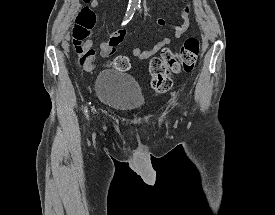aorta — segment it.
<instances>
[{
	"mask_svg": "<svg viewBox=\"0 0 275 215\" xmlns=\"http://www.w3.org/2000/svg\"><path fill=\"white\" fill-rule=\"evenodd\" d=\"M129 2L133 5V6H137L140 4L141 0H129Z\"/></svg>",
	"mask_w": 275,
	"mask_h": 215,
	"instance_id": "762f6f07",
	"label": "aorta"
}]
</instances>
